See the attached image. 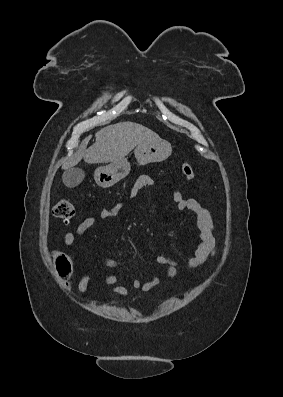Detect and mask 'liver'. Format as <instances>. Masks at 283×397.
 <instances>
[{
  "label": "liver",
  "mask_w": 283,
  "mask_h": 397,
  "mask_svg": "<svg viewBox=\"0 0 283 397\" xmlns=\"http://www.w3.org/2000/svg\"><path fill=\"white\" fill-rule=\"evenodd\" d=\"M95 137V143L88 149L90 136L81 143L79 150L68 160L66 168L77 165L82 158L88 164L119 161L140 143L161 139L154 131L134 122L109 125L98 131Z\"/></svg>",
  "instance_id": "1"
}]
</instances>
